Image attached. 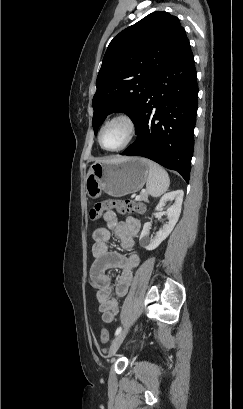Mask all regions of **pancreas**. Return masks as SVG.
<instances>
[{
	"label": "pancreas",
	"mask_w": 243,
	"mask_h": 409,
	"mask_svg": "<svg viewBox=\"0 0 243 409\" xmlns=\"http://www.w3.org/2000/svg\"><path fill=\"white\" fill-rule=\"evenodd\" d=\"M139 200L146 202V201L148 200V195H147V193H142V194H140Z\"/></svg>",
	"instance_id": "obj_1"
}]
</instances>
